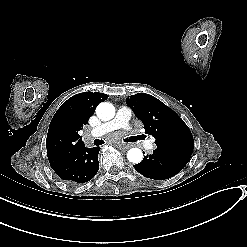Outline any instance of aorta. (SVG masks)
<instances>
[{
    "label": "aorta",
    "instance_id": "1",
    "mask_svg": "<svg viewBox=\"0 0 247 247\" xmlns=\"http://www.w3.org/2000/svg\"><path fill=\"white\" fill-rule=\"evenodd\" d=\"M96 114L102 121H108L115 116V108L111 103L103 102L97 106ZM127 159L136 164L140 163L143 160V152L139 148H131L127 153Z\"/></svg>",
    "mask_w": 247,
    "mask_h": 247
}]
</instances>
